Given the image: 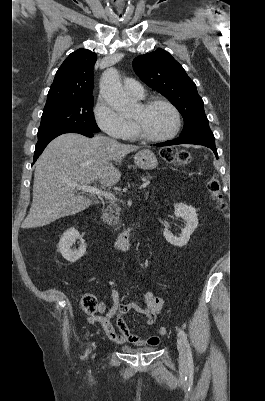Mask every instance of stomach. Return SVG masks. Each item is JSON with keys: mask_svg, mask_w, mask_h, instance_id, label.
Instances as JSON below:
<instances>
[{"mask_svg": "<svg viewBox=\"0 0 265 401\" xmlns=\"http://www.w3.org/2000/svg\"><path fill=\"white\" fill-rule=\"evenodd\" d=\"M134 162L140 168H156L158 166V160L149 148H144V150H138L137 154L134 156Z\"/></svg>", "mask_w": 265, "mask_h": 401, "instance_id": "obj_1", "label": "stomach"}]
</instances>
